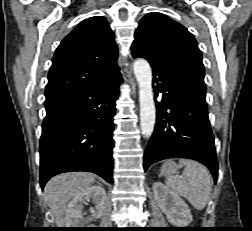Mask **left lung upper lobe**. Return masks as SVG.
<instances>
[{
  "label": "left lung upper lobe",
  "instance_id": "1",
  "mask_svg": "<svg viewBox=\"0 0 252 231\" xmlns=\"http://www.w3.org/2000/svg\"><path fill=\"white\" fill-rule=\"evenodd\" d=\"M132 56L148 60L153 67L180 68L204 78L202 54L193 35L168 16L152 12L138 24Z\"/></svg>",
  "mask_w": 252,
  "mask_h": 231
}]
</instances>
